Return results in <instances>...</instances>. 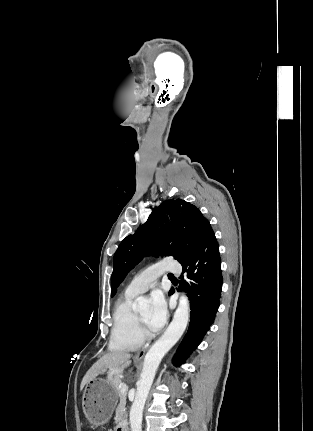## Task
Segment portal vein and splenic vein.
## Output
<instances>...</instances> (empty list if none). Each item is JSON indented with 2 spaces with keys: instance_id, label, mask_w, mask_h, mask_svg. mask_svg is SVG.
I'll return each mask as SVG.
<instances>
[{
  "instance_id": "18ae733b",
  "label": "portal vein and splenic vein",
  "mask_w": 313,
  "mask_h": 431,
  "mask_svg": "<svg viewBox=\"0 0 313 431\" xmlns=\"http://www.w3.org/2000/svg\"><path fill=\"white\" fill-rule=\"evenodd\" d=\"M119 388H120L122 393H125L128 389L127 385L125 383H122V382L119 384Z\"/></svg>"
}]
</instances>
